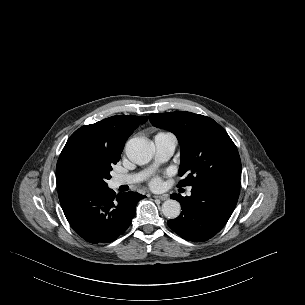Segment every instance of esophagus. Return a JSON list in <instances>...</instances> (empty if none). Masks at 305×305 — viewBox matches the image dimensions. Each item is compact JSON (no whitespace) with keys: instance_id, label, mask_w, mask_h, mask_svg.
I'll use <instances>...</instances> for the list:
<instances>
[{"instance_id":"obj_1","label":"esophagus","mask_w":305,"mask_h":305,"mask_svg":"<svg viewBox=\"0 0 305 305\" xmlns=\"http://www.w3.org/2000/svg\"><path fill=\"white\" fill-rule=\"evenodd\" d=\"M155 199H160L162 201H165L168 199V195H154L153 196Z\"/></svg>"}]
</instances>
